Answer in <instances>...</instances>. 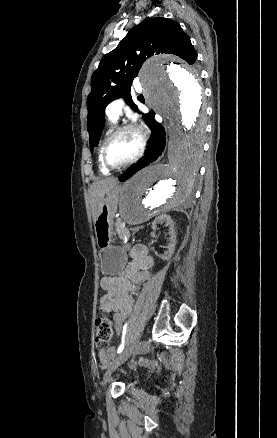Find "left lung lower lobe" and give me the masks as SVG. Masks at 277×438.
<instances>
[{
  "label": "left lung lower lobe",
  "instance_id": "obj_1",
  "mask_svg": "<svg viewBox=\"0 0 277 438\" xmlns=\"http://www.w3.org/2000/svg\"><path fill=\"white\" fill-rule=\"evenodd\" d=\"M151 120V130L153 135L150 139V146L146 152V155L137 163L133 164L124 174L119 176L120 181H126L137 171L148 166L151 162L155 161L157 157L162 154L166 143L165 130L160 123L154 120V116H152Z\"/></svg>",
  "mask_w": 277,
  "mask_h": 438
}]
</instances>
